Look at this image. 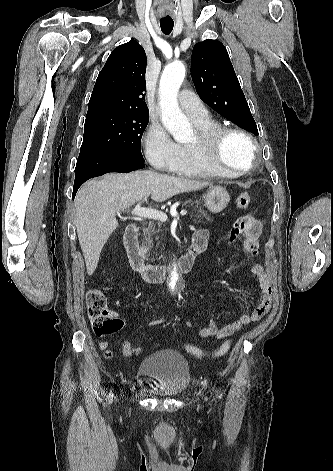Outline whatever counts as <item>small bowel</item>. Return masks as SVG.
Instances as JSON below:
<instances>
[{"mask_svg": "<svg viewBox=\"0 0 333 471\" xmlns=\"http://www.w3.org/2000/svg\"><path fill=\"white\" fill-rule=\"evenodd\" d=\"M261 222L250 215L240 217L234 224L229 233V241L231 243L243 237V250L244 252L257 255L259 252V236L261 234ZM192 243L203 245L204 249L208 244V236L204 231H198L193 235ZM252 274L258 279L261 300L257 307L251 314H244L236 321L229 323L219 328L211 316L207 324L199 330V335L202 338L215 337L219 340L231 336L234 332L241 330L252 322L259 321L264 317L271 308L272 303V284L271 278L262 264L256 263L251 267ZM117 316V314H114ZM165 318H156L147 322L149 326L163 324ZM186 326H190L186 322ZM99 348L104 352L107 359L113 357V352L109 349V344L106 340H100L98 343Z\"/></svg>", "mask_w": 333, "mask_h": 471, "instance_id": "1", "label": "small bowel"}]
</instances>
